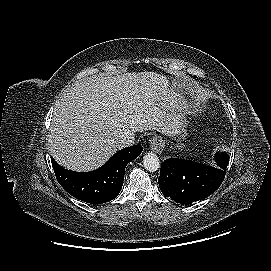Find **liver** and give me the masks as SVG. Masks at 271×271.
Returning <instances> with one entry per match:
<instances>
[{
  "label": "liver",
  "instance_id": "obj_1",
  "mask_svg": "<svg viewBox=\"0 0 271 271\" xmlns=\"http://www.w3.org/2000/svg\"><path fill=\"white\" fill-rule=\"evenodd\" d=\"M169 87L166 76L151 71L75 83L55 104L51 155L67 169L91 171L120 149L115 141L122 133L154 129L170 134L177 124L163 103Z\"/></svg>",
  "mask_w": 271,
  "mask_h": 271
}]
</instances>
